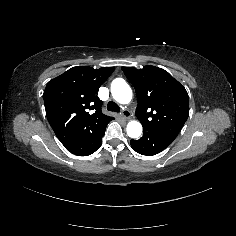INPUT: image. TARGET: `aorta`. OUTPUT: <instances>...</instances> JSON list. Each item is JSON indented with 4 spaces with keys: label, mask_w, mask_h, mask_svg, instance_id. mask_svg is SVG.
<instances>
[{
    "label": "aorta",
    "mask_w": 236,
    "mask_h": 236,
    "mask_svg": "<svg viewBox=\"0 0 236 236\" xmlns=\"http://www.w3.org/2000/svg\"><path fill=\"white\" fill-rule=\"evenodd\" d=\"M111 93L120 104H128L132 100V89L125 81L116 86L111 85ZM126 130L130 138H139L142 134V125L137 121H131L127 124Z\"/></svg>",
    "instance_id": "obj_1"
}]
</instances>
